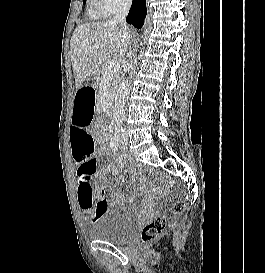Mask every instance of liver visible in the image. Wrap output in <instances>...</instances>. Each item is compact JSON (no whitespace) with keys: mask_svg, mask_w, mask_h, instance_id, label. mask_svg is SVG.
Segmentation results:
<instances>
[{"mask_svg":"<svg viewBox=\"0 0 265 273\" xmlns=\"http://www.w3.org/2000/svg\"><path fill=\"white\" fill-rule=\"evenodd\" d=\"M132 33L127 28L107 22L78 25L71 38L70 52L76 89L112 56L122 59Z\"/></svg>","mask_w":265,"mask_h":273,"instance_id":"6515ba94","label":"liver"}]
</instances>
